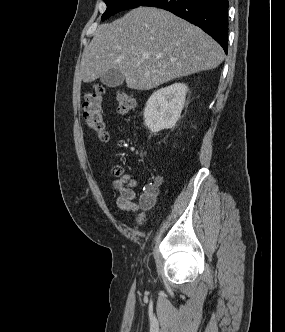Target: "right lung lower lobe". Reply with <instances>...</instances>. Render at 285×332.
<instances>
[{"label":"right lung lower lobe","instance_id":"right-lung-lower-lobe-1","mask_svg":"<svg viewBox=\"0 0 285 332\" xmlns=\"http://www.w3.org/2000/svg\"><path fill=\"white\" fill-rule=\"evenodd\" d=\"M141 6L162 8L195 24L227 53L228 0H146Z\"/></svg>","mask_w":285,"mask_h":332}]
</instances>
